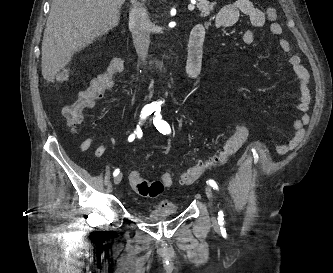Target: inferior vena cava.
I'll list each match as a JSON object with an SVG mask.
<instances>
[{
  "mask_svg": "<svg viewBox=\"0 0 333 273\" xmlns=\"http://www.w3.org/2000/svg\"><path fill=\"white\" fill-rule=\"evenodd\" d=\"M132 8L129 14V27L132 30V38L136 52L143 61L148 53V36L150 20L143 3L131 0Z\"/></svg>",
  "mask_w": 333,
  "mask_h": 273,
  "instance_id": "602c4592",
  "label": "inferior vena cava"
}]
</instances>
